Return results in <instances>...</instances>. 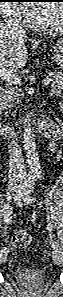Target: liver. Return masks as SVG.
Segmentation results:
<instances>
[{
    "mask_svg": "<svg viewBox=\"0 0 63 297\" xmlns=\"http://www.w3.org/2000/svg\"><path fill=\"white\" fill-rule=\"evenodd\" d=\"M26 37L0 31V73L1 77L25 66L28 60Z\"/></svg>",
    "mask_w": 63,
    "mask_h": 297,
    "instance_id": "obj_1",
    "label": "liver"
}]
</instances>
